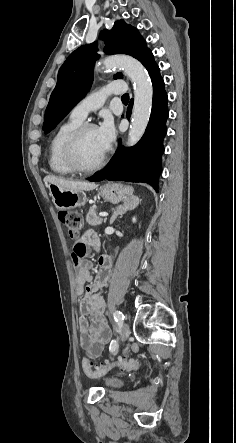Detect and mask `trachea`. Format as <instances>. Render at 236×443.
Returning a JSON list of instances; mask_svg holds the SVG:
<instances>
[{
    "mask_svg": "<svg viewBox=\"0 0 236 443\" xmlns=\"http://www.w3.org/2000/svg\"><path fill=\"white\" fill-rule=\"evenodd\" d=\"M121 99H122V101H126V102L129 101V94H127V93L124 94Z\"/></svg>",
    "mask_w": 236,
    "mask_h": 443,
    "instance_id": "1",
    "label": "trachea"
}]
</instances>
